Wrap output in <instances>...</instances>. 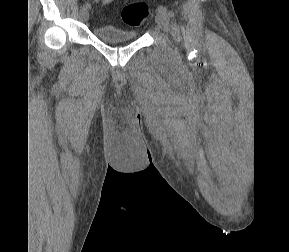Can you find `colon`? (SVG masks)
<instances>
[{
  "label": "colon",
  "mask_w": 289,
  "mask_h": 252,
  "mask_svg": "<svg viewBox=\"0 0 289 252\" xmlns=\"http://www.w3.org/2000/svg\"><path fill=\"white\" fill-rule=\"evenodd\" d=\"M149 14V7L145 3L133 2L123 8L121 17L126 25L140 26Z\"/></svg>",
  "instance_id": "5ec220e1"
}]
</instances>
